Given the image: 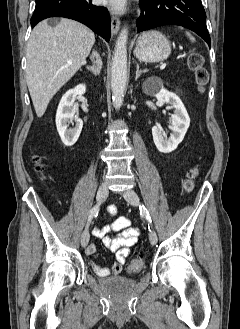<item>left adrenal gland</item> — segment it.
<instances>
[{
  "instance_id": "1",
  "label": "left adrenal gland",
  "mask_w": 240,
  "mask_h": 329,
  "mask_svg": "<svg viewBox=\"0 0 240 329\" xmlns=\"http://www.w3.org/2000/svg\"><path fill=\"white\" fill-rule=\"evenodd\" d=\"M146 72H148L147 69L140 70V69H139V64H137V66H136V76H135V80H137V79L140 77V75H141L142 73H146Z\"/></svg>"
}]
</instances>
